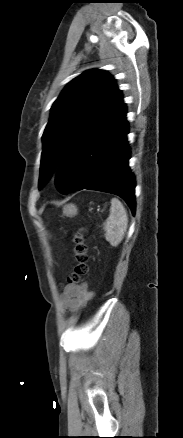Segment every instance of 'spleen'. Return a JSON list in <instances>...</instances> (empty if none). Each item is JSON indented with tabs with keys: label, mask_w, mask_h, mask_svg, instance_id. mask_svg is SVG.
Returning <instances> with one entry per match:
<instances>
[{
	"label": "spleen",
	"mask_w": 183,
	"mask_h": 438,
	"mask_svg": "<svg viewBox=\"0 0 183 438\" xmlns=\"http://www.w3.org/2000/svg\"><path fill=\"white\" fill-rule=\"evenodd\" d=\"M128 215L123 204L117 198L111 199L110 215L106 219L103 229L105 239L114 247H117L127 230Z\"/></svg>",
	"instance_id": "1"
}]
</instances>
